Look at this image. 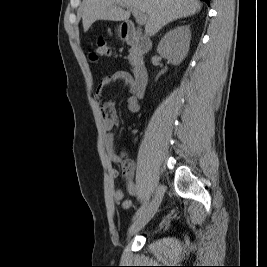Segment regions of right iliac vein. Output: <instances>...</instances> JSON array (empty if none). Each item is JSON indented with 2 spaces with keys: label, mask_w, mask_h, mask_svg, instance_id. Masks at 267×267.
Instances as JSON below:
<instances>
[{
  "label": "right iliac vein",
  "mask_w": 267,
  "mask_h": 267,
  "mask_svg": "<svg viewBox=\"0 0 267 267\" xmlns=\"http://www.w3.org/2000/svg\"><path fill=\"white\" fill-rule=\"evenodd\" d=\"M164 195V186L158 185L152 201L149 203L145 211L137 218V220L129 227L128 236H133L140 231L157 212Z\"/></svg>",
  "instance_id": "63e3f726"
}]
</instances>
